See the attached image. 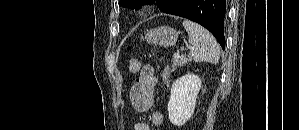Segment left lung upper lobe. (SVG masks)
Returning <instances> with one entry per match:
<instances>
[{
    "label": "left lung upper lobe",
    "mask_w": 299,
    "mask_h": 130,
    "mask_svg": "<svg viewBox=\"0 0 299 130\" xmlns=\"http://www.w3.org/2000/svg\"><path fill=\"white\" fill-rule=\"evenodd\" d=\"M155 0H120V4L123 7H136V6H141L143 4H147V3H152ZM163 0H156L157 3H161Z\"/></svg>",
    "instance_id": "obj_1"
}]
</instances>
